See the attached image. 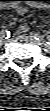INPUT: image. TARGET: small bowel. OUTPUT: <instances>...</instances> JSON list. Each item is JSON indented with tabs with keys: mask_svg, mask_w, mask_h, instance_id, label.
Segmentation results:
<instances>
[{
	"mask_svg": "<svg viewBox=\"0 0 50 111\" xmlns=\"http://www.w3.org/2000/svg\"><path fill=\"white\" fill-rule=\"evenodd\" d=\"M15 11H16V13L19 14V15H24V14H26V13L28 12V9H27L26 7H24V6H17V7L15 8ZM27 30H28V26H27V25H21V26L19 27V29H18V32H19V33H24V32H26Z\"/></svg>",
	"mask_w": 50,
	"mask_h": 111,
	"instance_id": "1",
	"label": "small bowel"
}]
</instances>
